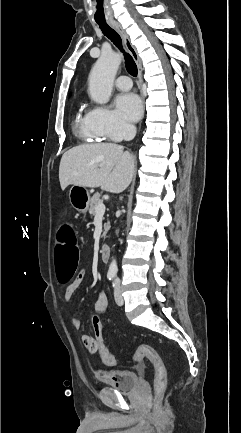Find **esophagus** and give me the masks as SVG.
Instances as JSON below:
<instances>
[{"label": "esophagus", "instance_id": "obj_1", "mask_svg": "<svg viewBox=\"0 0 241 433\" xmlns=\"http://www.w3.org/2000/svg\"><path fill=\"white\" fill-rule=\"evenodd\" d=\"M109 25L115 29L122 37L126 48L128 49V51L130 52L131 56L133 57L137 68H138V80H139V85H140V89L142 87V64H141V59L138 55L137 49L136 47L133 45V43L131 42L129 35L127 34V32L125 31V29L121 26V24H119L116 21H110ZM142 91V90H141ZM142 99L144 101V97L142 96Z\"/></svg>", "mask_w": 241, "mask_h": 433}]
</instances>
